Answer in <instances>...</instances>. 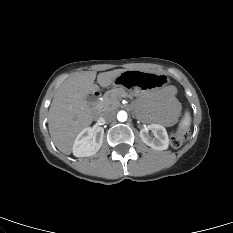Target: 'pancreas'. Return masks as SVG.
Returning a JSON list of instances; mask_svg holds the SVG:
<instances>
[{
	"instance_id": "obj_1",
	"label": "pancreas",
	"mask_w": 233,
	"mask_h": 233,
	"mask_svg": "<svg viewBox=\"0 0 233 233\" xmlns=\"http://www.w3.org/2000/svg\"><path fill=\"white\" fill-rule=\"evenodd\" d=\"M126 96V92L121 88L110 90L104 94L101 107L103 110H114L120 106V100Z\"/></svg>"
}]
</instances>
